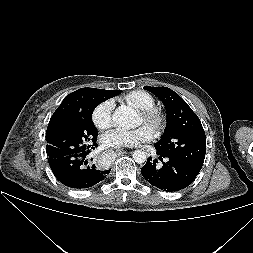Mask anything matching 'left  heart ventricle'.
Wrapping results in <instances>:
<instances>
[{"mask_svg": "<svg viewBox=\"0 0 253 253\" xmlns=\"http://www.w3.org/2000/svg\"><path fill=\"white\" fill-rule=\"evenodd\" d=\"M139 124H147L143 118V116L140 114ZM149 126V125H148ZM150 127V126H149Z\"/></svg>", "mask_w": 253, "mask_h": 253, "instance_id": "b2bd125f", "label": "left heart ventricle"}]
</instances>
